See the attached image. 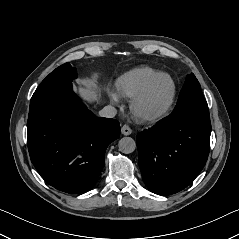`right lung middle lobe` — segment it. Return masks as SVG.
<instances>
[{"label":"right lung middle lobe","instance_id":"obj_1","mask_svg":"<svg viewBox=\"0 0 239 239\" xmlns=\"http://www.w3.org/2000/svg\"><path fill=\"white\" fill-rule=\"evenodd\" d=\"M76 77V68L72 67L70 63H65L59 66L42 81V83L34 92L31 102L51 89L71 83Z\"/></svg>","mask_w":239,"mask_h":239}]
</instances>
